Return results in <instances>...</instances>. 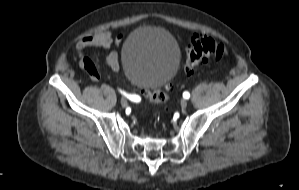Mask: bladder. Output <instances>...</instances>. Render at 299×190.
<instances>
[{"label": "bladder", "mask_w": 299, "mask_h": 190, "mask_svg": "<svg viewBox=\"0 0 299 190\" xmlns=\"http://www.w3.org/2000/svg\"><path fill=\"white\" fill-rule=\"evenodd\" d=\"M180 50L166 30L141 27L132 32L121 50V65L135 85L160 88L170 81L180 65Z\"/></svg>", "instance_id": "1"}]
</instances>
